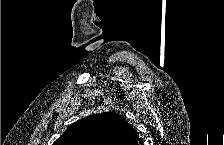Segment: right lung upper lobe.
Returning a JSON list of instances; mask_svg holds the SVG:
<instances>
[{
    "label": "right lung upper lobe",
    "instance_id": "cb5924a9",
    "mask_svg": "<svg viewBox=\"0 0 224 145\" xmlns=\"http://www.w3.org/2000/svg\"><path fill=\"white\" fill-rule=\"evenodd\" d=\"M53 145H138V136L125 118L104 112L71 124Z\"/></svg>",
    "mask_w": 224,
    "mask_h": 145
}]
</instances>
